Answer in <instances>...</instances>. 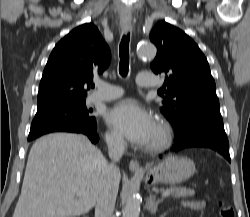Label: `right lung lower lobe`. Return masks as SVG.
<instances>
[{"label":"right lung lower lobe","mask_w":250,"mask_h":217,"mask_svg":"<svg viewBox=\"0 0 250 217\" xmlns=\"http://www.w3.org/2000/svg\"><path fill=\"white\" fill-rule=\"evenodd\" d=\"M77 133H82L86 136H88V138L93 142L96 143L99 139L97 133H96V128L93 131L90 132H77Z\"/></svg>","instance_id":"98d812e1"}]
</instances>
